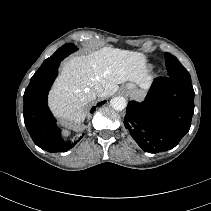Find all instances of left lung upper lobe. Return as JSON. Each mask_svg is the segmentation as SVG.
<instances>
[{
    "label": "left lung upper lobe",
    "instance_id": "1",
    "mask_svg": "<svg viewBox=\"0 0 211 211\" xmlns=\"http://www.w3.org/2000/svg\"><path fill=\"white\" fill-rule=\"evenodd\" d=\"M165 61L168 70V77L191 79L188 71L175 56L170 53H165Z\"/></svg>",
    "mask_w": 211,
    "mask_h": 211
}]
</instances>
